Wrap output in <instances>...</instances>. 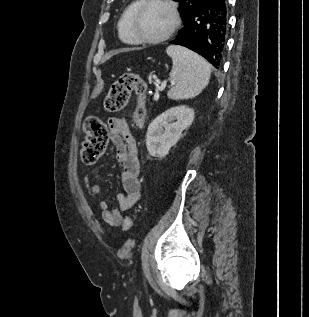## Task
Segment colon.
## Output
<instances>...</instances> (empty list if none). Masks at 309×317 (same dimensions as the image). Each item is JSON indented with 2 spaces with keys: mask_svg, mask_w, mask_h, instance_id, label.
I'll use <instances>...</instances> for the list:
<instances>
[{
  "mask_svg": "<svg viewBox=\"0 0 309 317\" xmlns=\"http://www.w3.org/2000/svg\"><path fill=\"white\" fill-rule=\"evenodd\" d=\"M146 89V83L138 74L124 73L110 87L104 100V107L109 112L120 111L128 104L131 93H135L138 97V103L134 112V120L138 126H142L146 117ZM84 133L85 140L81 149V159L85 165H92L106 149L107 127L101 119L91 116L86 119ZM131 228L132 220L130 217H126L124 229L129 231Z\"/></svg>",
  "mask_w": 309,
  "mask_h": 317,
  "instance_id": "1",
  "label": "colon"
}]
</instances>
